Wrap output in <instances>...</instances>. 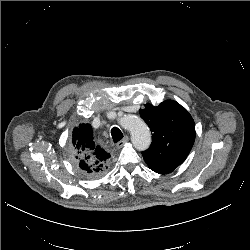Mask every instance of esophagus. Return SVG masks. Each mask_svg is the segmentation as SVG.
<instances>
[{
    "label": "esophagus",
    "instance_id": "1",
    "mask_svg": "<svg viewBox=\"0 0 250 250\" xmlns=\"http://www.w3.org/2000/svg\"><path fill=\"white\" fill-rule=\"evenodd\" d=\"M129 141V137L128 136H125L122 140H120L118 143H117V147L118 148H122L124 146L125 143H127Z\"/></svg>",
    "mask_w": 250,
    "mask_h": 250
}]
</instances>
